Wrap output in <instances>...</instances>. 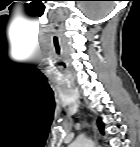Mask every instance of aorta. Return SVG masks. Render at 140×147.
I'll use <instances>...</instances> for the list:
<instances>
[{
	"label": "aorta",
	"instance_id": "762f6f07",
	"mask_svg": "<svg viewBox=\"0 0 140 147\" xmlns=\"http://www.w3.org/2000/svg\"><path fill=\"white\" fill-rule=\"evenodd\" d=\"M72 147H93L94 142L91 139L79 138L71 144Z\"/></svg>",
	"mask_w": 140,
	"mask_h": 147
}]
</instances>
